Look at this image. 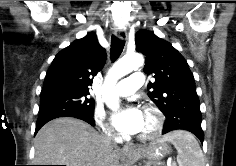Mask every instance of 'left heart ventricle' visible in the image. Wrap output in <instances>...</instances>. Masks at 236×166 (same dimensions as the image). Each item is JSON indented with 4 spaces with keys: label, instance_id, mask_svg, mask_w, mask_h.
Instances as JSON below:
<instances>
[{
    "label": "left heart ventricle",
    "instance_id": "left-heart-ventricle-1",
    "mask_svg": "<svg viewBox=\"0 0 236 166\" xmlns=\"http://www.w3.org/2000/svg\"><path fill=\"white\" fill-rule=\"evenodd\" d=\"M153 126H154L153 118L149 114L144 113V126L139 134L148 132L149 130L153 128Z\"/></svg>",
    "mask_w": 236,
    "mask_h": 166
}]
</instances>
